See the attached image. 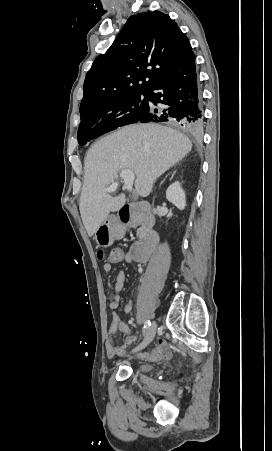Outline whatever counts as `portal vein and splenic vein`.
<instances>
[{
  "label": "portal vein and splenic vein",
  "mask_w": 272,
  "mask_h": 451,
  "mask_svg": "<svg viewBox=\"0 0 272 451\" xmlns=\"http://www.w3.org/2000/svg\"><path fill=\"white\" fill-rule=\"evenodd\" d=\"M120 178L124 180L125 186H127L128 190H131L132 184L135 180L134 172H132V170H122ZM117 186H119L118 182H113L112 186L105 188V192H115Z\"/></svg>",
  "instance_id": "18ae733b"
}]
</instances>
